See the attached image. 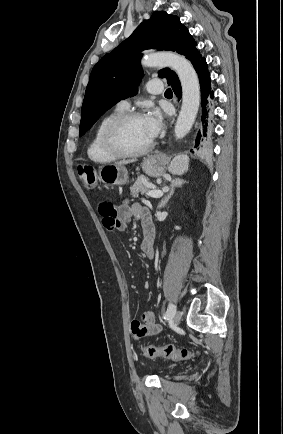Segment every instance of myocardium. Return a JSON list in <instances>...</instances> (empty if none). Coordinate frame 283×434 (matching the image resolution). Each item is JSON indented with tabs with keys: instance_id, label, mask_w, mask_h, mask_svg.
Wrapping results in <instances>:
<instances>
[{
	"instance_id": "f54148a6",
	"label": "myocardium",
	"mask_w": 283,
	"mask_h": 434,
	"mask_svg": "<svg viewBox=\"0 0 283 434\" xmlns=\"http://www.w3.org/2000/svg\"><path fill=\"white\" fill-rule=\"evenodd\" d=\"M141 117H143L142 113L132 111L124 112L111 120L102 132L101 140L104 149L118 158L138 157L148 153L153 148V140H151L148 145L138 150H129L125 148L120 141V132L123 127L132 120Z\"/></svg>"
}]
</instances>
